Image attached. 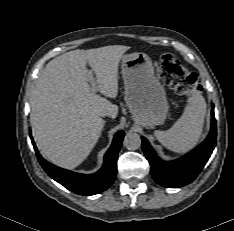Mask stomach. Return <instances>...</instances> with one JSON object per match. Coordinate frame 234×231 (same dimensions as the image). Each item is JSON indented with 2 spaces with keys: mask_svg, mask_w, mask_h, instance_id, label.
Instances as JSON below:
<instances>
[{
  "mask_svg": "<svg viewBox=\"0 0 234 231\" xmlns=\"http://www.w3.org/2000/svg\"><path fill=\"white\" fill-rule=\"evenodd\" d=\"M125 101L136 124L147 128L162 124L169 111L164 87L154 74L151 58L142 52L121 58Z\"/></svg>",
  "mask_w": 234,
  "mask_h": 231,
  "instance_id": "stomach-1",
  "label": "stomach"
}]
</instances>
